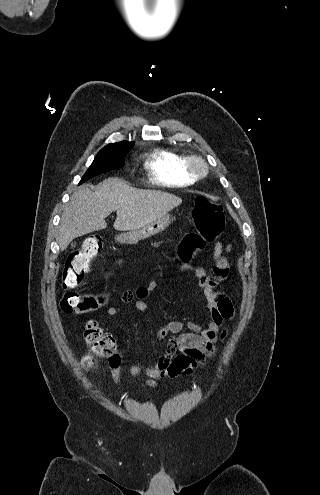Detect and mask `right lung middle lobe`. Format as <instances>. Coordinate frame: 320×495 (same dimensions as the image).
Segmentation results:
<instances>
[{
  "label": "right lung middle lobe",
  "instance_id": "obj_1",
  "mask_svg": "<svg viewBox=\"0 0 320 495\" xmlns=\"http://www.w3.org/2000/svg\"><path fill=\"white\" fill-rule=\"evenodd\" d=\"M131 149H101L79 184L88 179L124 166V158Z\"/></svg>",
  "mask_w": 320,
  "mask_h": 495
}]
</instances>
